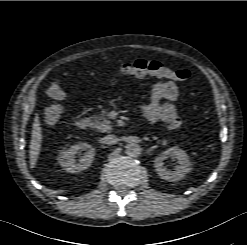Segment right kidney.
<instances>
[{
  "instance_id": "obj_1",
  "label": "right kidney",
  "mask_w": 247,
  "mask_h": 245,
  "mask_svg": "<svg viewBox=\"0 0 247 245\" xmlns=\"http://www.w3.org/2000/svg\"><path fill=\"white\" fill-rule=\"evenodd\" d=\"M81 152L84 153L77 162L76 155H80ZM94 156L95 149L93 147L87 143L79 142L63 151L58 157V162L67 172L75 173L89 168L94 160Z\"/></svg>"
}]
</instances>
